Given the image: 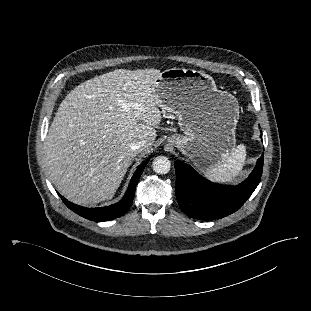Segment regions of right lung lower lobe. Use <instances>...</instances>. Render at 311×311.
<instances>
[{"mask_svg": "<svg viewBox=\"0 0 311 311\" xmlns=\"http://www.w3.org/2000/svg\"><path fill=\"white\" fill-rule=\"evenodd\" d=\"M148 161L143 163L141 166L138 167V169L135 171L134 175L131 178L129 187L124 195V197L116 204L107 206V207H101V208H86L81 207L76 204H73L69 202L67 199H65L63 196L59 195L63 202L66 204V206L71 209L76 214L97 222L102 221H108L115 219L117 217H120L124 215L130 208L134 194H135V188L137 185V182L144 170V167L146 166Z\"/></svg>", "mask_w": 311, "mask_h": 311, "instance_id": "1", "label": "right lung lower lobe"}]
</instances>
